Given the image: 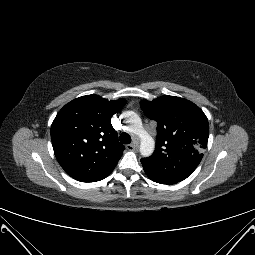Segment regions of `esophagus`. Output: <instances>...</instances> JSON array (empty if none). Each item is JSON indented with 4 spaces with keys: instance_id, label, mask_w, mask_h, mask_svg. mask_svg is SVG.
Wrapping results in <instances>:
<instances>
[{
    "instance_id": "obj_1",
    "label": "esophagus",
    "mask_w": 255,
    "mask_h": 255,
    "mask_svg": "<svg viewBox=\"0 0 255 255\" xmlns=\"http://www.w3.org/2000/svg\"><path fill=\"white\" fill-rule=\"evenodd\" d=\"M126 148L129 151H137L138 150V143L137 142H133L132 144L127 145Z\"/></svg>"
}]
</instances>
